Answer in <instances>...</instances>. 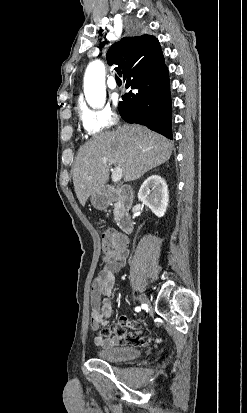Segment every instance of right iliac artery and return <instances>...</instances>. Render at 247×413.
<instances>
[{
    "label": "right iliac artery",
    "mask_w": 247,
    "mask_h": 413,
    "mask_svg": "<svg viewBox=\"0 0 247 413\" xmlns=\"http://www.w3.org/2000/svg\"><path fill=\"white\" fill-rule=\"evenodd\" d=\"M140 310H141L140 307H136V308H135V311H137V312H139Z\"/></svg>",
    "instance_id": "82829eb1"
}]
</instances>
